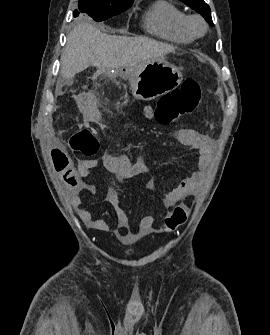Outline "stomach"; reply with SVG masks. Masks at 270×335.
Returning <instances> with one entry per match:
<instances>
[{"instance_id":"0dacf381","label":"stomach","mask_w":270,"mask_h":335,"mask_svg":"<svg viewBox=\"0 0 270 335\" xmlns=\"http://www.w3.org/2000/svg\"><path fill=\"white\" fill-rule=\"evenodd\" d=\"M120 74L131 82L135 100H155L178 88L183 80L182 72L165 60H151L142 67L120 68Z\"/></svg>"}]
</instances>
